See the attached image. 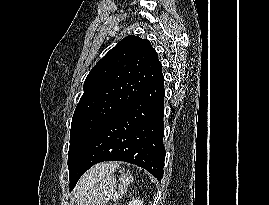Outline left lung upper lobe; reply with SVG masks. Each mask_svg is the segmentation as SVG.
Wrapping results in <instances>:
<instances>
[{"instance_id":"left-lung-upper-lobe-1","label":"left lung upper lobe","mask_w":269,"mask_h":205,"mask_svg":"<svg viewBox=\"0 0 269 205\" xmlns=\"http://www.w3.org/2000/svg\"><path fill=\"white\" fill-rule=\"evenodd\" d=\"M161 73L150 41L134 35L123 38L97 62L72 118L69 179L100 130Z\"/></svg>"}]
</instances>
